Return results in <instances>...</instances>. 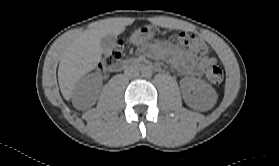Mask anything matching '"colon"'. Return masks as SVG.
Returning <instances> with one entry per match:
<instances>
[{"label": "colon", "mask_w": 279, "mask_h": 166, "mask_svg": "<svg viewBox=\"0 0 279 166\" xmlns=\"http://www.w3.org/2000/svg\"><path fill=\"white\" fill-rule=\"evenodd\" d=\"M170 40L187 48L196 57H202L208 53L207 45L199 38L186 32L172 34ZM123 46L118 43L114 48L108 51L102 58L99 65L100 70H106L115 65L120 58ZM205 76L207 80L215 85L220 84L224 78L222 68L216 64L207 67Z\"/></svg>", "instance_id": "colon-1"}]
</instances>
